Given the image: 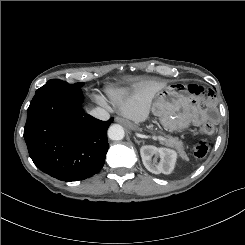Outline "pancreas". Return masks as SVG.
I'll use <instances>...</instances> for the list:
<instances>
[{
	"label": "pancreas",
	"mask_w": 245,
	"mask_h": 245,
	"mask_svg": "<svg viewBox=\"0 0 245 245\" xmlns=\"http://www.w3.org/2000/svg\"><path fill=\"white\" fill-rule=\"evenodd\" d=\"M164 139H165L164 142L167 146L176 149L179 152V155L182 159H184V160L187 159V155H186V152L184 151L182 141H180L178 138L172 137V136H168L167 138H164Z\"/></svg>",
	"instance_id": "obj_1"
}]
</instances>
